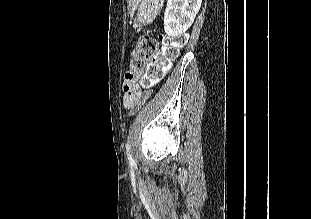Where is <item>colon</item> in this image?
Segmentation results:
<instances>
[{
	"label": "colon",
	"instance_id": "obj_1",
	"mask_svg": "<svg viewBox=\"0 0 311 219\" xmlns=\"http://www.w3.org/2000/svg\"><path fill=\"white\" fill-rule=\"evenodd\" d=\"M185 36L179 35L171 38H164L165 47L158 52V44L155 39L149 36L141 37L135 47L130 69L132 73L139 72L147 61V72L142 80L144 85L156 83L160 80L166 68L174 61L185 43Z\"/></svg>",
	"mask_w": 311,
	"mask_h": 219
}]
</instances>
